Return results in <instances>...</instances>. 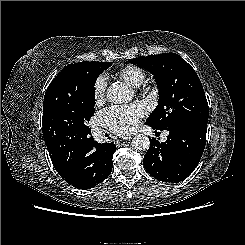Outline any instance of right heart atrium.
<instances>
[{"instance_id":"d8ad5b80","label":"right heart atrium","mask_w":245,"mask_h":245,"mask_svg":"<svg viewBox=\"0 0 245 245\" xmlns=\"http://www.w3.org/2000/svg\"><path fill=\"white\" fill-rule=\"evenodd\" d=\"M107 89V77L106 75H99L93 83V95L95 101L98 103L105 97Z\"/></svg>"}]
</instances>
